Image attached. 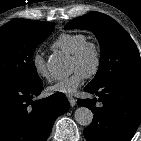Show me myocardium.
<instances>
[{
    "mask_svg": "<svg viewBox=\"0 0 141 141\" xmlns=\"http://www.w3.org/2000/svg\"><path fill=\"white\" fill-rule=\"evenodd\" d=\"M88 52L93 55V64L92 67L84 74V77L92 78L99 72L102 64V51L99 44L94 41L86 40L75 50L74 53H72V58L80 61Z\"/></svg>",
    "mask_w": 141,
    "mask_h": 141,
    "instance_id": "f54148a6",
    "label": "myocardium"
}]
</instances>
